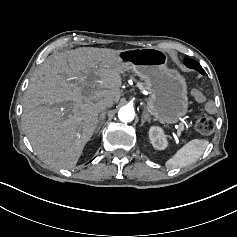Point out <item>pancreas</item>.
Masks as SVG:
<instances>
[{
	"mask_svg": "<svg viewBox=\"0 0 237 237\" xmlns=\"http://www.w3.org/2000/svg\"><path fill=\"white\" fill-rule=\"evenodd\" d=\"M138 87H141V84H138Z\"/></svg>",
	"mask_w": 237,
	"mask_h": 237,
	"instance_id": "pancreas-1",
	"label": "pancreas"
}]
</instances>
